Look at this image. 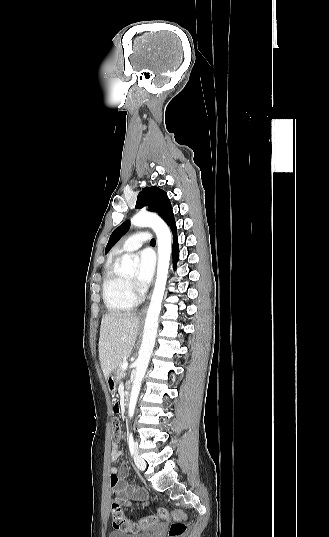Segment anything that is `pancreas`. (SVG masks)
Instances as JSON below:
<instances>
[{
  "label": "pancreas",
  "instance_id": "cf45deb5",
  "mask_svg": "<svg viewBox=\"0 0 329 537\" xmlns=\"http://www.w3.org/2000/svg\"><path fill=\"white\" fill-rule=\"evenodd\" d=\"M122 364H123V361L121 360L116 369V379L118 381H120L125 376V372L122 369Z\"/></svg>",
  "mask_w": 329,
  "mask_h": 537
}]
</instances>
